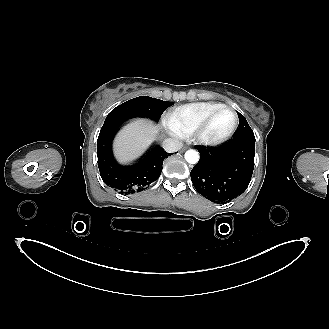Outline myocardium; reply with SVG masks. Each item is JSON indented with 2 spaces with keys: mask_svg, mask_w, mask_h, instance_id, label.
<instances>
[{
  "mask_svg": "<svg viewBox=\"0 0 329 329\" xmlns=\"http://www.w3.org/2000/svg\"><path fill=\"white\" fill-rule=\"evenodd\" d=\"M223 110H231L234 114V124L231 128V130L224 136L220 137V138H208L204 135V132L206 130V128L208 127V125L210 124V122L212 121V119L221 111ZM239 125V115L238 112L232 107V106H228V105H222L220 107H218L217 109L213 110L212 112H210L193 130L192 132V136L193 139L201 145H205V146H214V145H218L221 144L225 141H227L228 139H230L236 132L237 128Z\"/></svg>",
  "mask_w": 329,
  "mask_h": 329,
  "instance_id": "1",
  "label": "myocardium"
}]
</instances>
